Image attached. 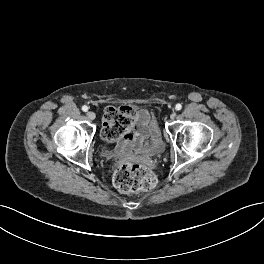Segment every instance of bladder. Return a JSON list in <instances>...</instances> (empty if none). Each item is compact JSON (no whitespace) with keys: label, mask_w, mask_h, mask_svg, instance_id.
<instances>
[{"label":"bladder","mask_w":264,"mask_h":264,"mask_svg":"<svg viewBox=\"0 0 264 264\" xmlns=\"http://www.w3.org/2000/svg\"><path fill=\"white\" fill-rule=\"evenodd\" d=\"M165 144L158 128L154 137L149 140L146 147L142 150L143 154L149 157L159 156L164 152Z\"/></svg>","instance_id":"1"}]
</instances>
